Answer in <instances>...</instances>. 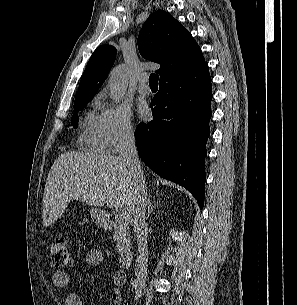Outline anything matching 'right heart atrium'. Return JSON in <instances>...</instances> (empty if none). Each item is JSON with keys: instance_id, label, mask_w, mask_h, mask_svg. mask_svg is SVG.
<instances>
[{"instance_id": "right-heart-atrium-1", "label": "right heart atrium", "mask_w": 297, "mask_h": 305, "mask_svg": "<svg viewBox=\"0 0 297 305\" xmlns=\"http://www.w3.org/2000/svg\"><path fill=\"white\" fill-rule=\"evenodd\" d=\"M103 95L98 101L103 100ZM100 126L106 150L116 153L135 139L136 129L130 109L123 104H105L100 114Z\"/></svg>"}]
</instances>
